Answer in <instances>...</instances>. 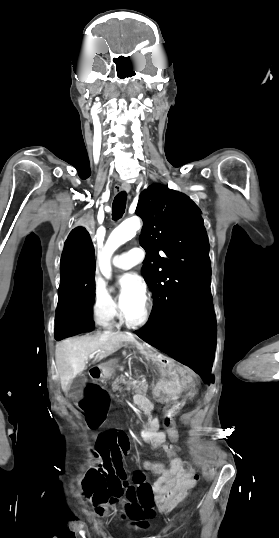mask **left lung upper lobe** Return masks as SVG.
Here are the masks:
<instances>
[{
    "instance_id": "1",
    "label": "left lung upper lobe",
    "mask_w": 279,
    "mask_h": 538,
    "mask_svg": "<svg viewBox=\"0 0 279 538\" xmlns=\"http://www.w3.org/2000/svg\"><path fill=\"white\" fill-rule=\"evenodd\" d=\"M142 275L153 293L146 329L166 325L183 305L210 290L208 237L199 210L184 194L153 184L139 197ZM159 251L163 254L160 256Z\"/></svg>"
}]
</instances>
